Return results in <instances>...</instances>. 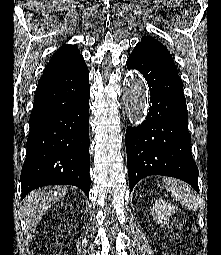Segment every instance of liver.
I'll list each match as a JSON object with an SVG mask.
<instances>
[{
	"mask_svg": "<svg viewBox=\"0 0 221 255\" xmlns=\"http://www.w3.org/2000/svg\"><path fill=\"white\" fill-rule=\"evenodd\" d=\"M67 193L63 186L40 188L32 191L23 202L22 215L27 227L31 231L35 228L41 217L50 209L56 201L60 200Z\"/></svg>",
	"mask_w": 221,
	"mask_h": 255,
	"instance_id": "6515ba94",
	"label": "liver"
}]
</instances>
